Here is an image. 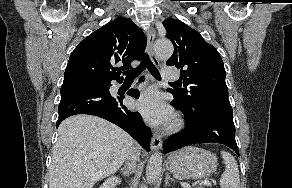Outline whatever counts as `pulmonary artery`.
Segmentation results:
<instances>
[{
    "label": "pulmonary artery",
    "instance_id": "1",
    "mask_svg": "<svg viewBox=\"0 0 292 188\" xmlns=\"http://www.w3.org/2000/svg\"><path fill=\"white\" fill-rule=\"evenodd\" d=\"M162 75L165 79H177L179 77L177 70L173 67H164Z\"/></svg>",
    "mask_w": 292,
    "mask_h": 188
}]
</instances>
